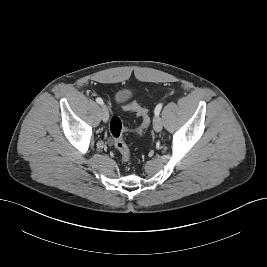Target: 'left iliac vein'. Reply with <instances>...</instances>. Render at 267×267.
Returning <instances> with one entry per match:
<instances>
[{
  "mask_svg": "<svg viewBox=\"0 0 267 267\" xmlns=\"http://www.w3.org/2000/svg\"><path fill=\"white\" fill-rule=\"evenodd\" d=\"M163 123L159 116H155L153 120V128L156 132H160L162 130Z\"/></svg>",
  "mask_w": 267,
  "mask_h": 267,
  "instance_id": "4c4485c4",
  "label": "left iliac vein"
}]
</instances>
